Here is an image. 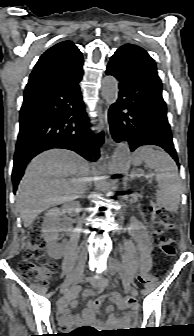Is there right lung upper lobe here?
<instances>
[{
    "label": "right lung upper lobe",
    "instance_id": "obj_1",
    "mask_svg": "<svg viewBox=\"0 0 194 336\" xmlns=\"http://www.w3.org/2000/svg\"><path fill=\"white\" fill-rule=\"evenodd\" d=\"M82 53L71 41L60 42L48 49L35 65L24 95L51 87L82 68Z\"/></svg>",
    "mask_w": 194,
    "mask_h": 336
}]
</instances>
